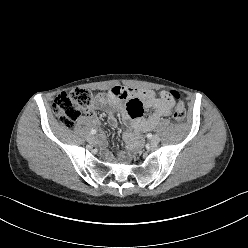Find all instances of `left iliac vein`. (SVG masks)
Returning a JSON list of instances; mask_svg holds the SVG:
<instances>
[{
    "mask_svg": "<svg viewBox=\"0 0 248 248\" xmlns=\"http://www.w3.org/2000/svg\"><path fill=\"white\" fill-rule=\"evenodd\" d=\"M159 141H160L159 136L155 135L151 138L150 143H151V145L155 146L159 143Z\"/></svg>",
    "mask_w": 248,
    "mask_h": 248,
    "instance_id": "left-iliac-vein-1",
    "label": "left iliac vein"
}]
</instances>
